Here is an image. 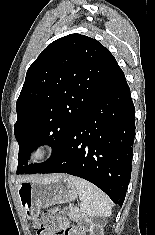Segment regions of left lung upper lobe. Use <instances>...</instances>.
Returning a JSON list of instances; mask_svg holds the SVG:
<instances>
[{
	"label": "left lung upper lobe",
	"instance_id": "obj_1",
	"mask_svg": "<svg viewBox=\"0 0 155 235\" xmlns=\"http://www.w3.org/2000/svg\"><path fill=\"white\" fill-rule=\"evenodd\" d=\"M117 66L107 48L80 34L62 37L41 52L16 103L17 174H35L54 158ZM40 144L50 145L52 156L29 164L30 152Z\"/></svg>",
	"mask_w": 155,
	"mask_h": 235
}]
</instances>
